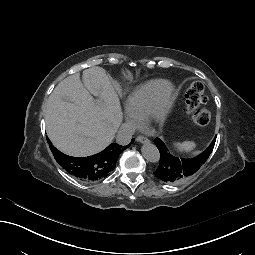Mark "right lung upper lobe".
Masks as SVG:
<instances>
[{
	"label": "right lung upper lobe",
	"mask_w": 255,
	"mask_h": 255,
	"mask_svg": "<svg viewBox=\"0 0 255 255\" xmlns=\"http://www.w3.org/2000/svg\"><path fill=\"white\" fill-rule=\"evenodd\" d=\"M49 144V147L57 162L69 174H72L85 182L97 181L108 176L109 173L115 168L119 155L130 146V144L127 146H122L116 143H112L100 153L93 155L94 159H97L100 162V170L96 173H93V177L91 179H86L84 177L85 171L83 170V157L68 156L56 149L51 142H49Z\"/></svg>",
	"instance_id": "cb5924a9"
}]
</instances>
